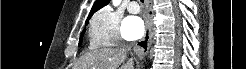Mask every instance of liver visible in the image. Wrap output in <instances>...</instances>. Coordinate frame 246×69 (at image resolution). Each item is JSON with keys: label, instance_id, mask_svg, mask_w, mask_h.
<instances>
[{"label": "liver", "instance_id": "6515ba94", "mask_svg": "<svg viewBox=\"0 0 246 69\" xmlns=\"http://www.w3.org/2000/svg\"><path fill=\"white\" fill-rule=\"evenodd\" d=\"M126 58L127 51L122 48H101L83 55L76 69H118ZM121 69H133V61L129 60Z\"/></svg>", "mask_w": 246, "mask_h": 69}]
</instances>
